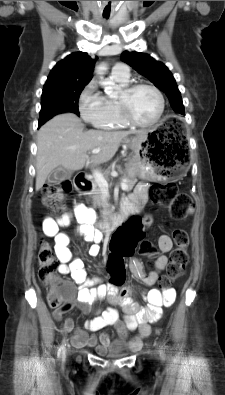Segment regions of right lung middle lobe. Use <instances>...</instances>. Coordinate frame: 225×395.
I'll use <instances>...</instances> for the list:
<instances>
[{
	"label": "right lung middle lobe",
	"instance_id": "1",
	"mask_svg": "<svg viewBox=\"0 0 225 395\" xmlns=\"http://www.w3.org/2000/svg\"><path fill=\"white\" fill-rule=\"evenodd\" d=\"M85 86V84L44 86L39 125L63 112H72L79 116L78 99Z\"/></svg>",
	"mask_w": 225,
	"mask_h": 395
}]
</instances>
